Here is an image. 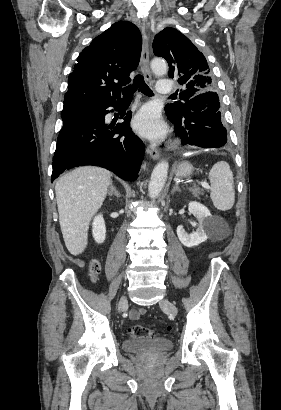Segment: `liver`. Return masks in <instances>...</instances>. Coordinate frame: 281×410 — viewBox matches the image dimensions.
<instances>
[{
  "mask_svg": "<svg viewBox=\"0 0 281 410\" xmlns=\"http://www.w3.org/2000/svg\"><path fill=\"white\" fill-rule=\"evenodd\" d=\"M111 173L100 167H79L55 185L59 223L68 251L81 254L88 240L89 223L101 208L111 185Z\"/></svg>",
  "mask_w": 281,
  "mask_h": 410,
  "instance_id": "obj_1",
  "label": "liver"
}]
</instances>
